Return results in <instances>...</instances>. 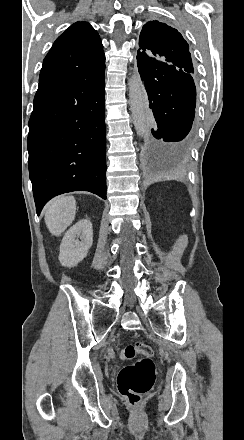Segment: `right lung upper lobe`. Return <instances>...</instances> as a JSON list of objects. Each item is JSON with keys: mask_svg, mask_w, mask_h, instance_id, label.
<instances>
[{"mask_svg": "<svg viewBox=\"0 0 244 440\" xmlns=\"http://www.w3.org/2000/svg\"><path fill=\"white\" fill-rule=\"evenodd\" d=\"M105 63L100 37L87 22H76L54 42L44 59L39 81Z\"/></svg>", "mask_w": 244, "mask_h": 440, "instance_id": "obj_1", "label": "right lung upper lobe"}]
</instances>
